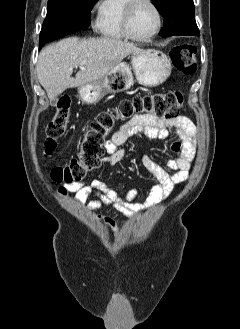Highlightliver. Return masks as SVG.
I'll use <instances>...</instances> for the list:
<instances>
[{"instance_id":"1","label":"liver","mask_w":240,"mask_h":329,"mask_svg":"<svg viewBox=\"0 0 240 329\" xmlns=\"http://www.w3.org/2000/svg\"><path fill=\"white\" fill-rule=\"evenodd\" d=\"M142 50L133 43L112 38L69 37L45 47L39 54L36 71L51 101L68 88L92 83L108 74L126 56ZM86 70L71 77L73 69Z\"/></svg>"}]
</instances>
